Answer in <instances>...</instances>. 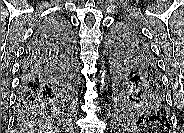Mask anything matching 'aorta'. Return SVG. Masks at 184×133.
<instances>
[{
  "instance_id": "aorta-1",
  "label": "aorta",
  "mask_w": 184,
  "mask_h": 133,
  "mask_svg": "<svg viewBox=\"0 0 184 133\" xmlns=\"http://www.w3.org/2000/svg\"><path fill=\"white\" fill-rule=\"evenodd\" d=\"M106 73H107V69L103 65L102 68H101V70H100V75H99V79H98V82L100 84V90H104V87H105V79L107 77Z\"/></svg>"
}]
</instances>
